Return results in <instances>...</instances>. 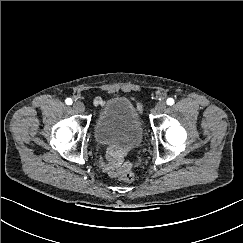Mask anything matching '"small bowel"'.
<instances>
[{"instance_id":"c3829d8e","label":"small bowel","mask_w":243,"mask_h":243,"mask_svg":"<svg viewBox=\"0 0 243 243\" xmlns=\"http://www.w3.org/2000/svg\"><path fill=\"white\" fill-rule=\"evenodd\" d=\"M93 104L96 107H102L105 103L101 98H95ZM138 109H141L140 104H138ZM124 156V152L113 148L108 149L101 165L102 171L112 178L120 176L131 166L130 163L124 162Z\"/></svg>"}]
</instances>
